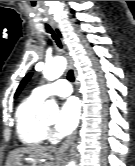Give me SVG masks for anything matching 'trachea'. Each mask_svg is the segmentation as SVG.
Instances as JSON below:
<instances>
[{
    "instance_id": "obj_1",
    "label": "trachea",
    "mask_w": 135,
    "mask_h": 166,
    "mask_svg": "<svg viewBox=\"0 0 135 166\" xmlns=\"http://www.w3.org/2000/svg\"><path fill=\"white\" fill-rule=\"evenodd\" d=\"M45 29L48 33H50L52 35V38L55 40L57 46L59 48H62V44H61V41L60 39L58 38V36L56 35V33L52 30V28L45 24ZM67 79L70 81V82H74L75 78H74V73L72 70H69L68 74H67Z\"/></svg>"
}]
</instances>
